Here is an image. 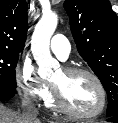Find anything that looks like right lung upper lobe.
<instances>
[{
  "label": "right lung upper lobe",
  "instance_id": "right-lung-upper-lobe-1",
  "mask_svg": "<svg viewBox=\"0 0 118 123\" xmlns=\"http://www.w3.org/2000/svg\"><path fill=\"white\" fill-rule=\"evenodd\" d=\"M25 0H0V49L21 52L24 49L28 12Z\"/></svg>",
  "mask_w": 118,
  "mask_h": 123
}]
</instances>
